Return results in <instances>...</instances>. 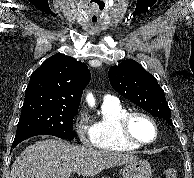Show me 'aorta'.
<instances>
[{
    "label": "aorta",
    "mask_w": 194,
    "mask_h": 178,
    "mask_svg": "<svg viewBox=\"0 0 194 178\" xmlns=\"http://www.w3.org/2000/svg\"><path fill=\"white\" fill-rule=\"evenodd\" d=\"M87 101H88L90 106H94L95 105V100H94V97L92 96V94H88Z\"/></svg>",
    "instance_id": "aorta-1"
}]
</instances>
